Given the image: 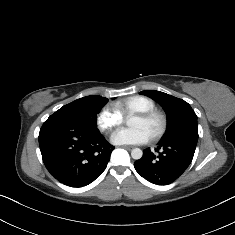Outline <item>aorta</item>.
<instances>
[{
  "mask_svg": "<svg viewBox=\"0 0 235 235\" xmlns=\"http://www.w3.org/2000/svg\"><path fill=\"white\" fill-rule=\"evenodd\" d=\"M143 156V152L139 148H134L131 150V157L135 160L141 159Z\"/></svg>",
  "mask_w": 235,
  "mask_h": 235,
  "instance_id": "aorta-1",
  "label": "aorta"
}]
</instances>
